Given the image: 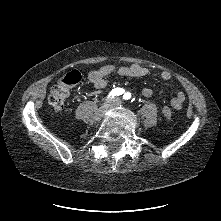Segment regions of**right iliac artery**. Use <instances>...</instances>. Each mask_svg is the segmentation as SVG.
Returning <instances> with one entry per match:
<instances>
[{
  "instance_id": "82829eb1",
  "label": "right iliac artery",
  "mask_w": 221,
  "mask_h": 221,
  "mask_svg": "<svg viewBox=\"0 0 221 221\" xmlns=\"http://www.w3.org/2000/svg\"><path fill=\"white\" fill-rule=\"evenodd\" d=\"M124 92V90L122 88H115L110 92V96L114 97L116 95H121Z\"/></svg>"
}]
</instances>
